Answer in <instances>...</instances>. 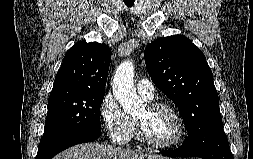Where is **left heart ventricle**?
<instances>
[{
	"mask_svg": "<svg viewBox=\"0 0 253 159\" xmlns=\"http://www.w3.org/2000/svg\"><path fill=\"white\" fill-rule=\"evenodd\" d=\"M135 117L141 122L148 138L154 142H170L177 134V121L165 109L149 110L144 106Z\"/></svg>",
	"mask_w": 253,
	"mask_h": 159,
	"instance_id": "obj_1",
	"label": "left heart ventricle"
}]
</instances>
